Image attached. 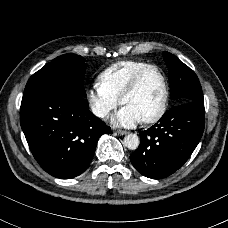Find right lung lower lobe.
Returning a JSON list of instances; mask_svg holds the SVG:
<instances>
[{
    "label": "right lung lower lobe",
    "instance_id": "1",
    "mask_svg": "<svg viewBox=\"0 0 228 228\" xmlns=\"http://www.w3.org/2000/svg\"><path fill=\"white\" fill-rule=\"evenodd\" d=\"M85 97L59 85L25 88L20 123L30 150L49 174L70 179L89 166L99 137L110 131Z\"/></svg>",
    "mask_w": 228,
    "mask_h": 228
}]
</instances>
